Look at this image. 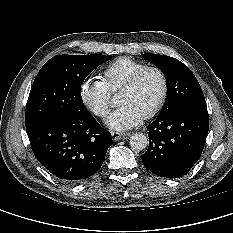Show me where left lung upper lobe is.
Returning a JSON list of instances; mask_svg holds the SVG:
<instances>
[{"label": "left lung upper lobe", "mask_w": 233, "mask_h": 233, "mask_svg": "<svg viewBox=\"0 0 233 233\" xmlns=\"http://www.w3.org/2000/svg\"><path fill=\"white\" fill-rule=\"evenodd\" d=\"M166 76L167 99L159 115L184 106L206 107L202 89L192 71L179 60L159 54H144Z\"/></svg>", "instance_id": "left-lung-upper-lobe-1"}]
</instances>
